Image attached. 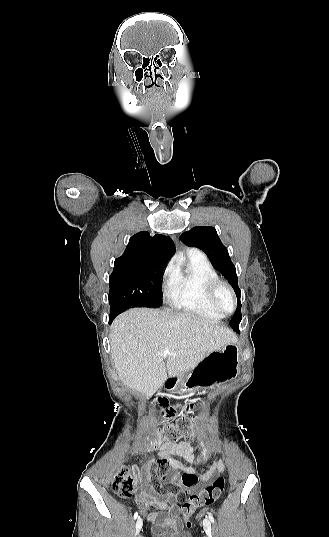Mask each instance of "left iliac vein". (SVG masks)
Here are the masks:
<instances>
[{"mask_svg": "<svg viewBox=\"0 0 329 537\" xmlns=\"http://www.w3.org/2000/svg\"><path fill=\"white\" fill-rule=\"evenodd\" d=\"M203 528H204V531L207 534V536L212 537L211 524H210V521L207 518H205L203 520Z\"/></svg>", "mask_w": 329, "mask_h": 537, "instance_id": "obj_1", "label": "left iliac vein"}]
</instances>
